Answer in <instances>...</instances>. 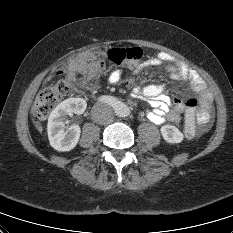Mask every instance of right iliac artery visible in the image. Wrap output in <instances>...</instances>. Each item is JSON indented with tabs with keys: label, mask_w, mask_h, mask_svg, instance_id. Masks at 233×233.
Here are the masks:
<instances>
[{
	"label": "right iliac artery",
	"mask_w": 233,
	"mask_h": 233,
	"mask_svg": "<svg viewBox=\"0 0 233 233\" xmlns=\"http://www.w3.org/2000/svg\"><path fill=\"white\" fill-rule=\"evenodd\" d=\"M98 101L106 103L114 108L117 107V105H118L117 100L112 96H101L98 98Z\"/></svg>",
	"instance_id": "82829eb1"
}]
</instances>
